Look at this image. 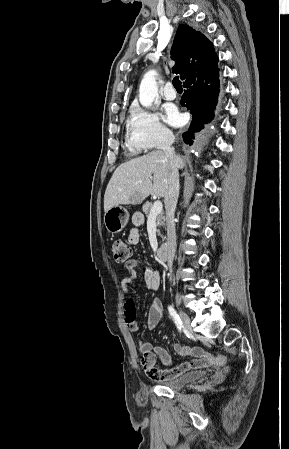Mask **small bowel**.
<instances>
[{
  "mask_svg": "<svg viewBox=\"0 0 289 449\" xmlns=\"http://www.w3.org/2000/svg\"><path fill=\"white\" fill-rule=\"evenodd\" d=\"M134 227L128 232L129 243L136 245L139 242V226L142 224L140 217L133 218ZM140 265L138 259H130L125 263V267L128 270V275L123 278L121 287L123 293L130 295V287L137 282L136 268ZM144 281L146 288L150 291L158 290L160 286V274L158 271L147 268L144 273ZM163 316V305L159 298L153 299L150 304L148 317H147V329L153 330L160 322ZM128 325L131 331L136 332L139 329L138 323L133 316L128 318ZM173 349L182 356H192L190 361L182 362L177 366H172L171 358L168 352L159 345H152L146 340H139L138 347L142 353L141 364L147 374V376L155 381L168 380L176 378L193 369H203L210 366H224L226 364L227 357L225 355H212L206 353L200 347L180 346L173 344ZM157 358L163 365L164 369L157 368L155 366ZM229 368H226L228 370Z\"/></svg>",
  "mask_w": 289,
  "mask_h": 449,
  "instance_id": "1",
  "label": "small bowel"
}]
</instances>
